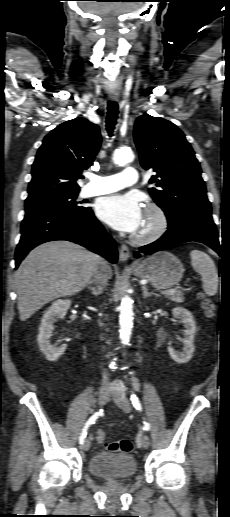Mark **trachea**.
I'll use <instances>...</instances> for the list:
<instances>
[{"instance_id":"obj_1","label":"trachea","mask_w":230,"mask_h":517,"mask_svg":"<svg viewBox=\"0 0 230 517\" xmlns=\"http://www.w3.org/2000/svg\"><path fill=\"white\" fill-rule=\"evenodd\" d=\"M118 118V104L109 101L107 106L106 129L109 136H112Z\"/></svg>"}]
</instances>
